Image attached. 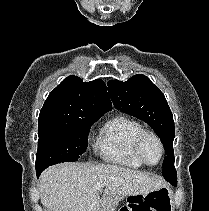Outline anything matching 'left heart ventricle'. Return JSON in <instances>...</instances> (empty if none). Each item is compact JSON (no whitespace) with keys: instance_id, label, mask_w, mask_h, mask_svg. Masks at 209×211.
Segmentation results:
<instances>
[{"instance_id":"1","label":"left heart ventricle","mask_w":209,"mask_h":211,"mask_svg":"<svg viewBox=\"0 0 209 211\" xmlns=\"http://www.w3.org/2000/svg\"><path fill=\"white\" fill-rule=\"evenodd\" d=\"M142 153L149 163H156L160 157V149L152 138H146L142 143Z\"/></svg>"}]
</instances>
